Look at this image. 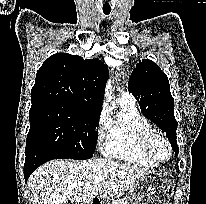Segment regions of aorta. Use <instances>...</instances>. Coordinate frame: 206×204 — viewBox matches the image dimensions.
<instances>
[{
  "label": "aorta",
  "instance_id": "aorta-1",
  "mask_svg": "<svg viewBox=\"0 0 206 204\" xmlns=\"http://www.w3.org/2000/svg\"><path fill=\"white\" fill-rule=\"evenodd\" d=\"M106 102L109 103L112 100V93H111V81L107 80L105 85V95H104Z\"/></svg>",
  "mask_w": 206,
  "mask_h": 204
}]
</instances>
